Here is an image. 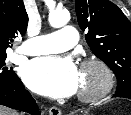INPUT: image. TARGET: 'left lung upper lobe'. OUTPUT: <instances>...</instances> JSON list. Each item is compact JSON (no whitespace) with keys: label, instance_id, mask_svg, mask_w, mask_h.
<instances>
[{"label":"left lung upper lobe","instance_id":"left-lung-upper-lobe-1","mask_svg":"<svg viewBox=\"0 0 131 115\" xmlns=\"http://www.w3.org/2000/svg\"><path fill=\"white\" fill-rule=\"evenodd\" d=\"M75 10L91 51L115 73L114 97L131 99V23L109 0H76Z\"/></svg>","mask_w":131,"mask_h":115}]
</instances>
